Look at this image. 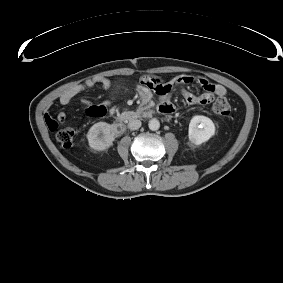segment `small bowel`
I'll use <instances>...</instances> for the list:
<instances>
[{
    "label": "small bowel",
    "mask_w": 283,
    "mask_h": 283,
    "mask_svg": "<svg viewBox=\"0 0 283 283\" xmlns=\"http://www.w3.org/2000/svg\"><path fill=\"white\" fill-rule=\"evenodd\" d=\"M194 82L203 89V92L200 94H193L186 89H182V95L189 105H206L212 102L215 98L224 97L227 93L225 87L220 84H213L204 77H193L190 75H180L170 81H163L158 78L144 76L140 80L139 91L147 98H150L151 91H154L158 97L159 110L160 112L165 113V109L170 107L173 108L171 103V87L173 85L189 86ZM111 86V81L106 77L96 76L88 78L82 83L63 92L59 97V103L62 106H67L76 97L85 95L88 91L95 88L107 90L111 88ZM83 105L88 116L98 117L105 114L108 102H103L99 106H89L87 98L83 97ZM44 118L47 127L50 130H54L58 126V123H62L66 120V113L64 111H59L56 116L47 113Z\"/></svg>",
    "instance_id": "obj_1"
}]
</instances>
